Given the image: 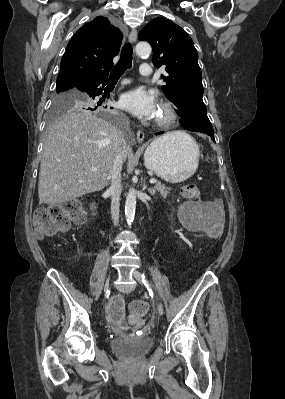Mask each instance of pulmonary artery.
I'll return each instance as SVG.
<instances>
[{"label": "pulmonary artery", "mask_w": 285, "mask_h": 399, "mask_svg": "<svg viewBox=\"0 0 285 399\" xmlns=\"http://www.w3.org/2000/svg\"><path fill=\"white\" fill-rule=\"evenodd\" d=\"M139 74L142 77H151L152 68L150 63H142L139 68Z\"/></svg>", "instance_id": "obj_1"}]
</instances>
